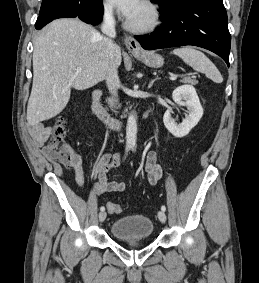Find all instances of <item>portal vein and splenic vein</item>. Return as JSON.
<instances>
[{
    "label": "portal vein and splenic vein",
    "mask_w": 259,
    "mask_h": 283,
    "mask_svg": "<svg viewBox=\"0 0 259 283\" xmlns=\"http://www.w3.org/2000/svg\"><path fill=\"white\" fill-rule=\"evenodd\" d=\"M81 70H82L81 67H77V68H76V71H77V72H80ZM176 78H177V76H175V75H172V76L170 77L171 80H175Z\"/></svg>",
    "instance_id": "18ae733b"
}]
</instances>
